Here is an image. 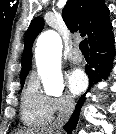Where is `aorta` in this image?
<instances>
[{
	"instance_id": "762f6f07",
	"label": "aorta",
	"mask_w": 116,
	"mask_h": 134,
	"mask_svg": "<svg viewBox=\"0 0 116 134\" xmlns=\"http://www.w3.org/2000/svg\"><path fill=\"white\" fill-rule=\"evenodd\" d=\"M62 40L54 30L42 33L37 39L35 58L44 90L49 95L59 96L64 89L61 72Z\"/></svg>"
}]
</instances>
